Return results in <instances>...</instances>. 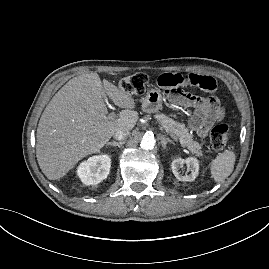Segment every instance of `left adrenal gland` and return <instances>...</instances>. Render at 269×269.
I'll return each instance as SVG.
<instances>
[{
	"instance_id": "1",
	"label": "left adrenal gland",
	"mask_w": 269,
	"mask_h": 269,
	"mask_svg": "<svg viewBox=\"0 0 269 269\" xmlns=\"http://www.w3.org/2000/svg\"><path fill=\"white\" fill-rule=\"evenodd\" d=\"M160 140H161V144H162L163 149H166L168 143H172L175 145V143L171 139L166 138L162 135L160 136Z\"/></svg>"
}]
</instances>
